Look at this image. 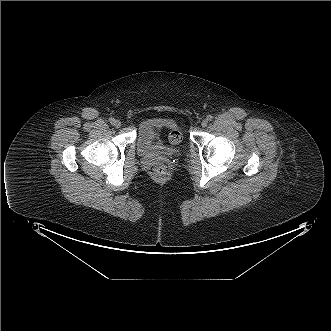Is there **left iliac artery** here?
Masks as SVG:
<instances>
[{
	"label": "left iliac artery",
	"mask_w": 331,
	"mask_h": 331,
	"mask_svg": "<svg viewBox=\"0 0 331 331\" xmlns=\"http://www.w3.org/2000/svg\"><path fill=\"white\" fill-rule=\"evenodd\" d=\"M212 119H213V116H212V115H208V116H207V120H208V121H212Z\"/></svg>",
	"instance_id": "obj_1"
}]
</instances>
